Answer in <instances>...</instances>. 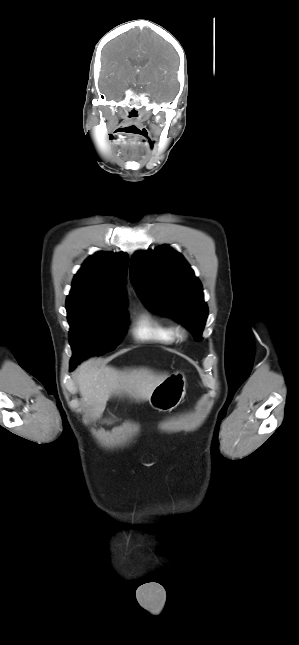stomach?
Returning <instances> with one entry per match:
<instances>
[{
    "label": "stomach",
    "instance_id": "1",
    "mask_svg": "<svg viewBox=\"0 0 299 645\" xmlns=\"http://www.w3.org/2000/svg\"><path fill=\"white\" fill-rule=\"evenodd\" d=\"M186 393V378L183 372H176L156 386L149 397L151 407L159 411L176 408Z\"/></svg>",
    "mask_w": 299,
    "mask_h": 645
}]
</instances>
